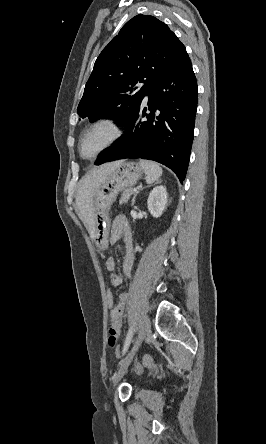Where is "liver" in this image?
Returning a JSON list of instances; mask_svg holds the SVG:
<instances>
[{
    "label": "liver",
    "instance_id": "6515ba94",
    "mask_svg": "<svg viewBox=\"0 0 266 444\" xmlns=\"http://www.w3.org/2000/svg\"><path fill=\"white\" fill-rule=\"evenodd\" d=\"M122 161L104 164L88 172L78 184L76 204L88 232L94 238L93 198L99 186L109 177Z\"/></svg>",
    "mask_w": 266,
    "mask_h": 444
}]
</instances>
